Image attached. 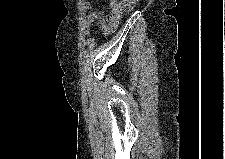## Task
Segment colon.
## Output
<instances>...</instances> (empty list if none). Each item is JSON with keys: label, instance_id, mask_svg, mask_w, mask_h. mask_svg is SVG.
Returning a JSON list of instances; mask_svg holds the SVG:
<instances>
[{"label": "colon", "instance_id": "colon-1", "mask_svg": "<svg viewBox=\"0 0 225 159\" xmlns=\"http://www.w3.org/2000/svg\"><path fill=\"white\" fill-rule=\"evenodd\" d=\"M135 0H112V10L110 15V23L115 25L118 23L119 18L122 14L128 12Z\"/></svg>", "mask_w": 225, "mask_h": 159}]
</instances>
